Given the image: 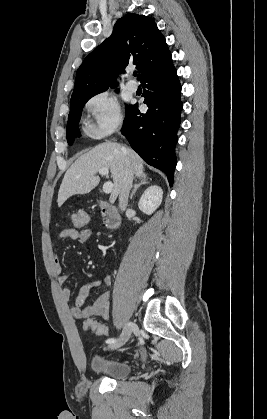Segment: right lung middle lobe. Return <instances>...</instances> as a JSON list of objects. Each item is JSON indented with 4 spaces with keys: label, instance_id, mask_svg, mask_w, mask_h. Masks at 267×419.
<instances>
[{
    "label": "right lung middle lobe",
    "instance_id": "obj_1",
    "mask_svg": "<svg viewBox=\"0 0 267 419\" xmlns=\"http://www.w3.org/2000/svg\"><path fill=\"white\" fill-rule=\"evenodd\" d=\"M93 96L94 95L85 96L80 99L71 100L70 113L68 116V123H67V129H66L67 141L70 145L73 143L75 137H80L78 124L81 118V112L86 102Z\"/></svg>",
    "mask_w": 267,
    "mask_h": 419
}]
</instances>
